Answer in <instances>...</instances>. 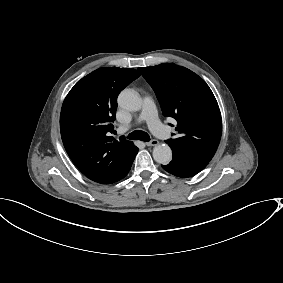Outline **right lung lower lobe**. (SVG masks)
<instances>
[{"label":"right lung lower lobe","mask_w":283,"mask_h":283,"mask_svg":"<svg viewBox=\"0 0 283 283\" xmlns=\"http://www.w3.org/2000/svg\"><path fill=\"white\" fill-rule=\"evenodd\" d=\"M130 168H131V167H130ZM130 168H129L128 170H126V171L124 172V174H123L118 180L124 178V177L128 174ZM118 180H117V181H118Z\"/></svg>","instance_id":"obj_1"}]
</instances>
